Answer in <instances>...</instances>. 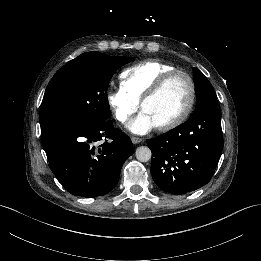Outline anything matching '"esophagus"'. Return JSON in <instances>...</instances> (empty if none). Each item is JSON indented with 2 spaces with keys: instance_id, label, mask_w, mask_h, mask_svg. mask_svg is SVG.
Instances as JSON below:
<instances>
[{
  "instance_id": "34e87169",
  "label": "esophagus",
  "mask_w": 261,
  "mask_h": 261,
  "mask_svg": "<svg viewBox=\"0 0 261 261\" xmlns=\"http://www.w3.org/2000/svg\"><path fill=\"white\" fill-rule=\"evenodd\" d=\"M131 141H132V143L137 144V143H140L142 141V138H140V137H132Z\"/></svg>"
}]
</instances>
